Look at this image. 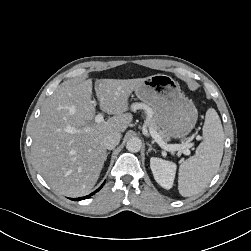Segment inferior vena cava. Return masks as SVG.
Segmentation results:
<instances>
[{"instance_id": "obj_1", "label": "inferior vena cava", "mask_w": 251, "mask_h": 251, "mask_svg": "<svg viewBox=\"0 0 251 251\" xmlns=\"http://www.w3.org/2000/svg\"><path fill=\"white\" fill-rule=\"evenodd\" d=\"M120 138V134L108 135L103 141L105 148L108 150L115 148L119 144Z\"/></svg>"}]
</instances>
